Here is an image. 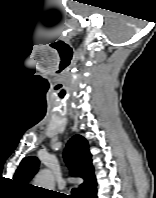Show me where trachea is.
<instances>
[{
  "mask_svg": "<svg viewBox=\"0 0 156 198\" xmlns=\"http://www.w3.org/2000/svg\"><path fill=\"white\" fill-rule=\"evenodd\" d=\"M71 198H82V189H72Z\"/></svg>",
  "mask_w": 156,
  "mask_h": 198,
  "instance_id": "obj_1",
  "label": "trachea"
}]
</instances>
